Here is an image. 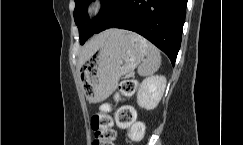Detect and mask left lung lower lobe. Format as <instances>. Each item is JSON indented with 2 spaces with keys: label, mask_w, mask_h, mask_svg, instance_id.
Returning a JSON list of instances; mask_svg holds the SVG:
<instances>
[{
  "label": "left lung lower lobe",
  "mask_w": 243,
  "mask_h": 145,
  "mask_svg": "<svg viewBox=\"0 0 243 145\" xmlns=\"http://www.w3.org/2000/svg\"><path fill=\"white\" fill-rule=\"evenodd\" d=\"M186 6L187 0H123L114 13H100L88 24L90 36L113 27L134 31L161 49L174 65Z\"/></svg>",
  "instance_id": "0a47b994"
}]
</instances>
